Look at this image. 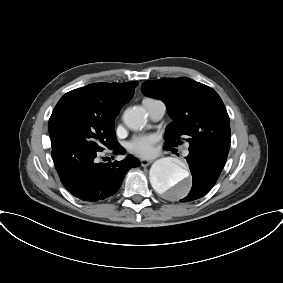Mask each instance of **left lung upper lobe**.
I'll return each instance as SVG.
<instances>
[{
  "instance_id": "5c2ea615",
  "label": "left lung upper lobe",
  "mask_w": 283,
  "mask_h": 283,
  "mask_svg": "<svg viewBox=\"0 0 283 283\" xmlns=\"http://www.w3.org/2000/svg\"><path fill=\"white\" fill-rule=\"evenodd\" d=\"M145 95L164 100L173 121L166 128L169 148L186 138L189 152L211 162L226 163L230 148V120L220 96L187 77L145 81Z\"/></svg>"
}]
</instances>
